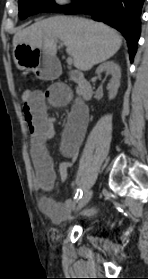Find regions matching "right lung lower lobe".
<instances>
[{"instance_id": "obj_1", "label": "right lung lower lobe", "mask_w": 148, "mask_h": 279, "mask_svg": "<svg viewBox=\"0 0 148 279\" xmlns=\"http://www.w3.org/2000/svg\"><path fill=\"white\" fill-rule=\"evenodd\" d=\"M143 3L144 0H84L63 12L88 14L94 20L118 29L128 42L130 61L133 62L141 32Z\"/></svg>"}]
</instances>
